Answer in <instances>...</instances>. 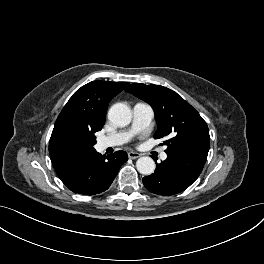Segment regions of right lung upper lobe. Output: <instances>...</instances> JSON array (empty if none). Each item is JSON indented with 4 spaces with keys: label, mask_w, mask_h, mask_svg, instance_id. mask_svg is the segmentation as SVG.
<instances>
[{
    "label": "right lung upper lobe",
    "mask_w": 264,
    "mask_h": 264,
    "mask_svg": "<svg viewBox=\"0 0 264 264\" xmlns=\"http://www.w3.org/2000/svg\"><path fill=\"white\" fill-rule=\"evenodd\" d=\"M129 83L92 81L78 89L59 114L49 142L54 166L74 158L62 149L63 138L72 132L95 133L103 127L108 103Z\"/></svg>",
    "instance_id": "1"
}]
</instances>
